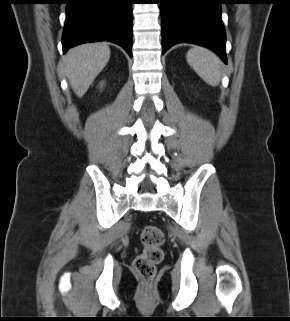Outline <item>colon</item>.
<instances>
[{"mask_svg":"<svg viewBox=\"0 0 290 321\" xmlns=\"http://www.w3.org/2000/svg\"><path fill=\"white\" fill-rule=\"evenodd\" d=\"M141 243L142 252L134 260L133 267L139 279L148 284L155 277L156 266L163 260L164 234L157 226H146L141 233Z\"/></svg>","mask_w":290,"mask_h":321,"instance_id":"5ec220e1","label":"colon"}]
</instances>
